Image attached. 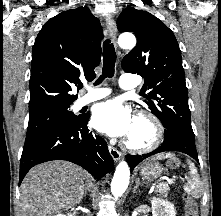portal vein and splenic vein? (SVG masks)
Segmentation results:
<instances>
[{"label": "portal vein and splenic vein", "instance_id": "18ae733b", "mask_svg": "<svg viewBox=\"0 0 221 216\" xmlns=\"http://www.w3.org/2000/svg\"><path fill=\"white\" fill-rule=\"evenodd\" d=\"M173 181H174L173 179H169V180H168V183L171 184V183H173ZM160 184H162V183H159V185H160Z\"/></svg>", "mask_w": 221, "mask_h": 216}]
</instances>
